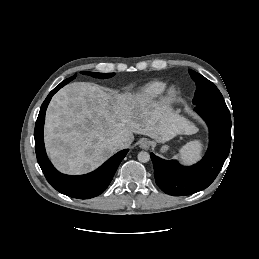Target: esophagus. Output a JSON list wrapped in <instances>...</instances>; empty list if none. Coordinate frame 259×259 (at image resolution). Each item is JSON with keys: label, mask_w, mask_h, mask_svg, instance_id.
Masks as SVG:
<instances>
[{"label": "esophagus", "mask_w": 259, "mask_h": 259, "mask_svg": "<svg viewBox=\"0 0 259 259\" xmlns=\"http://www.w3.org/2000/svg\"><path fill=\"white\" fill-rule=\"evenodd\" d=\"M139 147L143 150H148L151 147V142L147 139H142L139 141Z\"/></svg>", "instance_id": "34e87169"}]
</instances>
